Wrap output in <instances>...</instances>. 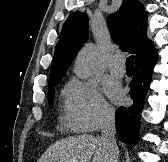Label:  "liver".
Masks as SVG:
<instances>
[{"instance_id": "1", "label": "liver", "mask_w": 168, "mask_h": 162, "mask_svg": "<svg viewBox=\"0 0 168 162\" xmlns=\"http://www.w3.org/2000/svg\"><path fill=\"white\" fill-rule=\"evenodd\" d=\"M38 162H111V155L101 137L81 135L56 141Z\"/></svg>"}]
</instances>
